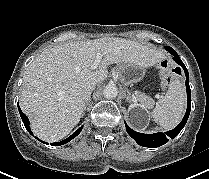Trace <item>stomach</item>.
Segmentation results:
<instances>
[{
    "mask_svg": "<svg viewBox=\"0 0 209 179\" xmlns=\"http://www.w3.org/2000/svg\"><path fill=\"white\" fill-rule=\"evenodd\" d=\"M145 68L136 64H123L119 66V79L124 86H129L143 79Z\"/></svg>",
    "mask_w": 209,
    "mask_h": 179,
    "instance_id": "stomach-1",
    "label": "stomach"
}]
</instances>
